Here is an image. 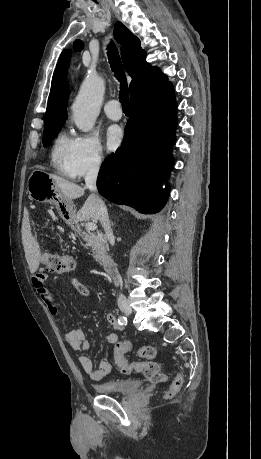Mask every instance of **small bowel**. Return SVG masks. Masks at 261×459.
Wrapping results in <instances>:
<instances>
[{"instance_id": "c3829d8e", "label": "small bowel", "mask_w": 261, "mask_h": 459, "mask_svg": "<svg viewBox=\"0 0 261 459\" xmlns=\"http://www.w3.org/2000/svg\"><path fill=\"white\" fill-rule=\"evenodd\" d=\"M48 278H49L48 273L45 271V269L42 268L38 272V274L34 277L33 285L35 287V290L39 294L41 300L44 302V304L48 308L50 314L53 316V318L60 321L61 311L58 307V304L53 294L51 293L50 289L47 286ZM68 282L81 295L89 296L90 294L89 288L83 283H81L79 280H77L76 278H69ZM106 319L108 323L110 324V326L115 330L113 332H110L107 335V342L109 344H114L118 341V334L116 331L122 330V326L119 324L116 316L111 313L107 314ZM65 338H66L68 345L73 350H76L79 352H85L90 348V343L86 338L85 332L81 329L67 332L65 334ZM114 359H115V363L117 364L118 358L115 355V353H114ZM79 363H80L81 368L84 370V372L87 373L90 376V378L94 381L102 380L103 378L110 375L114 369V365L106 359L100 363V366L98 369H94L91 359L87 355H84V354L79 356Z\"/></svg>"}]
</instances>
